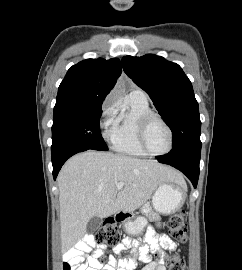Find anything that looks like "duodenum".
I'll use <instances>...</instances> for the list:
<instances>
[{"label": "duodenum", "instance_id": "obj_1", "mask_svg": "<svg viewBox=\"0 0 242 270\" xmlns=\"http://www.w3.org/2000/svg\"><path fill=\"white\" fill-rule=\"evenodd\" d=\"M119 215H120V213H118V214L116 215V217H117V219H119V221H120Z\"/></svg>", "mask_w": 242, "mask_h": 270}]
</instances>
